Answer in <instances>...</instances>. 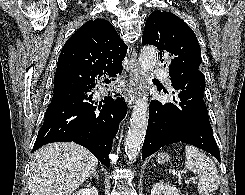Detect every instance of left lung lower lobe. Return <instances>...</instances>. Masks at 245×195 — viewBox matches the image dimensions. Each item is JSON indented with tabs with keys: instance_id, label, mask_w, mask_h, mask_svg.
<instances>
[{
	"instance_id": "left-lung-lower-lobe-1",
	"label": "left lung lower lobe",
	"mask_w": 245,
	"mask_h": 195,
	"mask_svg": "<svg viewBox=\"0 0 245 195\" xmlns=\"http://www.w3.org/2000/svg\"><path fill=\"white\" fill-rule=\"evenodd\" d=\"M177 91L175 103L150 102L142 159L167 144L183 142L209 152L220 162L203 96L190 90Z\"/></svg>"
}]
</instances>
